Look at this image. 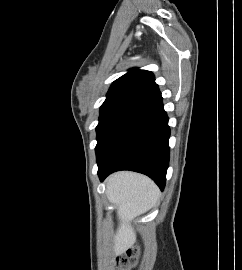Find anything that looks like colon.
I'll use <instances>...</instances> for the list:
<instances>
[{
  "label": "colon",
  "mask_w": 242,
  "mask_h": 270,
  "mask_svg": "<svg viewBox=\"0 0 242 270\" xmlns=\"http://www.w3.org/2000/svg\"><path fill=\"white\" fill-rule=\"evenodd\" d=\"M130 262L132 263L133 260L129 261V260L126 259V258H120V259L117 260V263H118L119 265L123 266V267L128 266Z\"/></svg>",
  "instance_id": "obj_1"
}]
</instances>
